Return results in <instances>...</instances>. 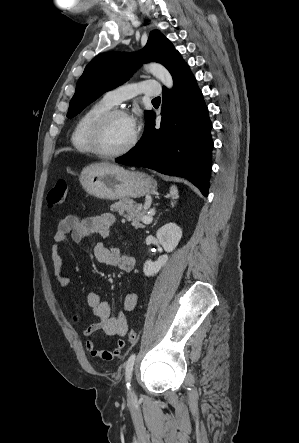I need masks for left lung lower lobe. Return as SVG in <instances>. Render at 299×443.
Instances as JSON below:
<instances>
[{"instance_id":"left-lung-lower-lobe-1","label":"left lung lower lobe","mask_w":299,"mask_h":443,"mask_svg":"<svg viewBox=\"0 0 299 443\" xmlns=\"http://www.w3.org/2000/svg\"><path fill=\"white\" fill-rule=\"evenodd\" d=\"M161 114L160 127H155V113L152 112L138 144L116 162L186 178L207 197L212 124L188 66L174 78L172 90L163 87Z\"/></svg>"}]
</instances>
